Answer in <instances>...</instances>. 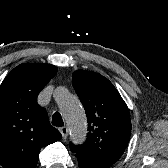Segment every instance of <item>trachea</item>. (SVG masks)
<instances>
[{"label": "trachea", "instance_id": "trachea-1", "mask_svg": "<svg viewBox=\"0 0 168 168\" xmlns=\"http://www.w3.org/2000/svg\"><path fill=\"white\" fill-rule=\"evenodd\" d=\"M52 124L57 127H62L64 122L62 120L61 114L59 112H55L52 116Z\"/></svg>", "mask_w": 168, "mask_h": 168}]
</instances>
